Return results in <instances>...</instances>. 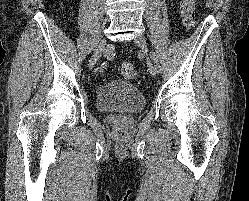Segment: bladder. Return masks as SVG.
Masks as SVG:
<instances>
[{
    "mask_svg": "<svg viewBox=\"0 0 249 201\" xmlns=\"http://www.w3.org/2000/svg\"><path fill=\"white\" fill-rule=\"evenodd\" d=\"M146 100L141 89L125 81H110L99 87L95 105L100 112L136 113L144 109Z\"/></svg>",
    "mask_w": 249,
    "mask_h": 201,
    "instance_id": "1",
    "label": "bladder"
}]
</instances>
